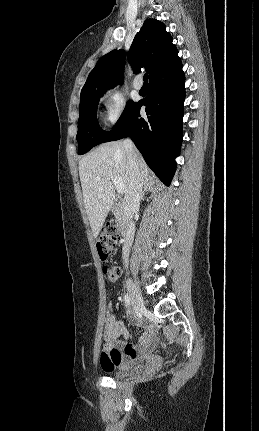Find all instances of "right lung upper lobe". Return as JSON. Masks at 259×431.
Segmentation results:
<instances>
[{
	"instance_id": "1",
	"label": "right lung upper lobe",
	"mask_w": 259,
	"mask_h": 431,
	"mask_svg": "<svg viewBox=\"0 0 259 431\" xmlns=\"http://www.w3.org/2000/svg\"><path fill=\"white\" fill-rule=\"evenodd\" d=\"M165 25L156 19H147L136 34L128 60L134 73L145 67L149 82L174 69L181 63L178 50L172 43ZM125 51L113 50L99 59L81 91V99L91 93H102L122 83Z\"/></svg>"
}]
</instances>
